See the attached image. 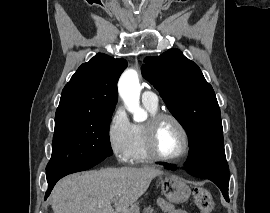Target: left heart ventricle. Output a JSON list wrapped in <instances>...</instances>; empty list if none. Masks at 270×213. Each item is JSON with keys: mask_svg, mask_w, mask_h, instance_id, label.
Returning <instances> with one entry per match:
<instances>
[{"mask_svg": "<svg viewBox=\"0 0 270 213\" xmlns=\"http://www.w3.org/2000/svg\"><path fill=\"white\" fill-rule=\"evenodd\" d=\"M156 147L167 157L179 155L184 148V139L177 125L171 120H164L156 132Z\"/></svg>", "mask_w": 270, "mask_h": 213, "instance_id": "b2bd125f", "label": "left heart ventricle"}]
</instances>
